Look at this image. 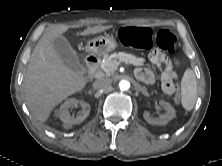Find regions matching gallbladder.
<instances>
[{
  "label": "gallbladder",
  "instance_id": "gallbladder-1",
  "mask_svg": "<svg viewBox=\"0 0 222 166\" xmlns=\"http://www.w3.org/2000/svg\"><path fill=\"white\" fill-rule=\"evenodd\" d=\"M53 46L64 63L73 70L82 68L77 53L64 36H58L53 41Z\"/></svg>",
  "mask_w": 222,
  "mask_h": 166
}]
</instances>
